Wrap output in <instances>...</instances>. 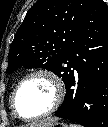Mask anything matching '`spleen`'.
Wrapping results in <instances>:
<instances>
[{"label":"spleen","mask_w":108,"mask_h":127,"mask_svg":"<svg viewBox=\"0 0 108 127\" xmlns=\"http://www.w3.org/2000/svg\"><path fill=\"white\" fill-rule=\"evenodd\" d=\"M70 127H82V126L78 124H70Z\"/></svg>","instance_id":"3e777b00"}]
</instances>
